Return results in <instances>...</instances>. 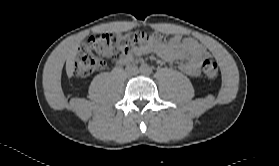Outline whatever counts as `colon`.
Listing matches in <instances>:
<instances>
[{"label":"colon","mask_w":279,"mask_h":166,"mask_svg":"<svg viewBox=\"0 0 279 166\" xmlns=\"http://www.w3.org/2000/svg\"><path fill=\"white\" fill-rule=\"evenodd\" d=\"M149 42L166 44L169 40L160 33L148 34L144 31L97 34L78 49L73 72L77 77H87L101 70L105 60L120 61L131 54L136 47ZM201 66L205 77L209 79L217 77L219 69L216 61L204 59Z\"/></svg>","instance_id":"1"}]
</instances>
